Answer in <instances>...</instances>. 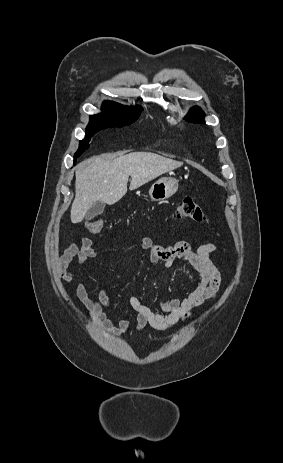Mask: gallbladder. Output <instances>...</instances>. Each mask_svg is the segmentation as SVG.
I'll list each match as a JSON object with an SVG mask.
<instances>
[{"instance_id":"gallbladder-1","label":"gallbladder","mask_w":283,"mask_h":463,"mask_svg":"<svg viewBox=\"0 0 283 463\" xmlns=\"http://www.w3.org/2000/svg\"><path fill=\"white\" fill-rule=\"evenodd\" d=\"M104 209H105V204L103 202H96L95 204H93L91 206V208L87 211L86 215H85V219L86 220H91L93 219L94 217L102 214L104 212Z\"/></svg>"}]
</instances>
